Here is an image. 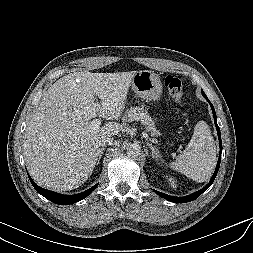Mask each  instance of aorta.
<instances>
[{"label": "aorta", "mask_w": 253, "mask_h": 253, "mask_svg": "<svg viewBox=\"0 0 253 253\" xmlns=\"http://www.w3.org/2000/svg\"><path fill=\"white\" fill-rule=\"evenodd\" d=\"M126 153L130 157H138L141 154V148L138 144H131L127 147Z\"/></svg>", "instance_id": "obj_1"}]
</instances>
